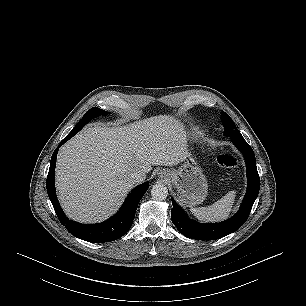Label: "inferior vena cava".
<instances>
[{
    "label": "inferior vena cava",
    "mask_w": 306,
    "mask_h": 306,
    "mask_svg": "<svg viewBox=\"0 0 306 306\" xmlns=\"http://www.w3.org/2000/svg\"><path fill=\"white\" fill-rule=\"evenodd\" d=\"M146 178V174L141 170H134L129 174V180L133 183H140Z\"/></svg>",
    "instance_id": "602c4592"
}]
</instances>
